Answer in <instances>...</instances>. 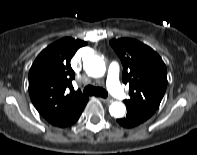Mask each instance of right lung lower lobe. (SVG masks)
Here are the masks:
<instances>
[{
  "label": "right lung lower lobe",
  "mask_w": 197,
  "mask_h": 155,
  "mask_svg": "<svg viewBox=\"0 0 197 155\" xmlns=\"http://www.w3.org/2000/svg\"><path fill=\"white\" fill-rule=\"evenodd\" d=\"M86 105V104H85ZM85 107V106H84ZM84 107L74 116V118L71 120V122L69 123V125L73 124L75 121H77V119L80 117ZM67 125V126H69Z\"/></svg>",
  "instance_id": "98d812e1"
}]
</instances>
